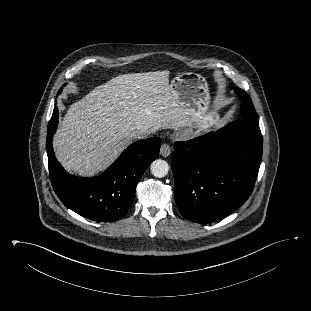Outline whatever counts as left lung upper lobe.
Here are the masks:
<instances>
[{
    "instance_id": "5c2ea615",
    "label": "left lung upper lobe",
    "mask_w": 311,
    "mask_h": 311,
    "mask_svg": "<svg viewBox=\"0 0 311 311\" xmlns=\"http://www.w3.org/2000/svg\"><path fill=\"white\" fill-rule=\"evenodd\" d=\"M234 90L242 102V109H241L242 119L258 125L259 121L249 95L245 91L237 87H234Z\"/></svg>"
}]
</instances>
